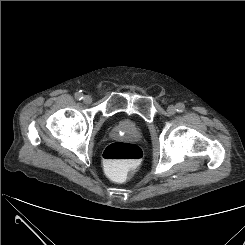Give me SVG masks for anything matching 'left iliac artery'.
Masks as SVG:
<instances>
[{"mask_svg": "<svg viewBox=\"0 0 245 245\" xmlns=\"http://www.w3.org/2000/svg\"><path fill=\"white\" fill-rule=\"evenodd\" d=\"M176 107L178 112H183L185 109V105L183 103H178Z\"/></svg>", "mask_w": 245, "mask_h": 245, "instance_id": "44dca946", "label": "left iliac artery"}]
</instances>
